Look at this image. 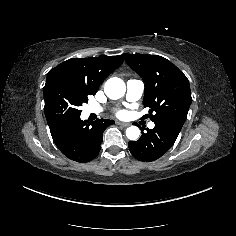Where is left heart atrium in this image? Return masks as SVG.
<instances>
[{
  "instance_id": "left-heart-atrium-1",
  "label": "left heart atrium",
  "mask_w": 236,
  "mask_h": 236,
  "mask_svg": "<svg viewBox=\"0 0 236 236\" xmlns=\"http://www.w3.org/2000/svg\"><path fill=\"white\" fill-rule=\"evenodd\" d=\"M123 114H124V111H122V110L117 111V115H123Z\"/></svg>"
}]
</instances>
